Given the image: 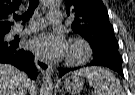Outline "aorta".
Segmentation results:
<instances>
[{
    "mask_svg": "<svg viewBox=\"0 0 135 95\" xmlns=\"http://www.w3.org/2000/svg\"><path fill=\"white\" fill-rule=\"evenodd\" d=\"M43 3L45 6L54 7L60 3V0H43ZM40 95H53V82L49 73L44 77Z\"/></svg>",
    "mask_w": 135,
    "mask_h": 95,
    "instance_id": "aorta-1",
    "label": "aorta"
}]
</instances>
